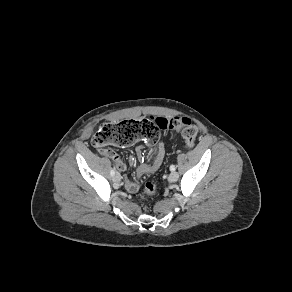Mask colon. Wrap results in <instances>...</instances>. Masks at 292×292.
Masks as SVG:
<instances>
[{"mask_svg":"<svg viewBox=\"0 0 292 292\" xmlns=\"http://www.w3.org/2000/svg\"><path fill=\"white\" fill-rule=\"evenodd\" d=\"M174 129L180 133L184 140V146L190 149L194 145L197 135V127L188 118L172 117L157 119H139V120H123L116 123H103L100 125L94 136L92 144L96 148L106 145L125 146L134 143L137 140L144 139L155 143L160 136V129ZM156 185L153 182L146 183L139 199L154 194Z\"/></svg>","mask_w":292,"mask_h":292,"instance_id":"5ec220e1","label":"colon"}]
</instances>
